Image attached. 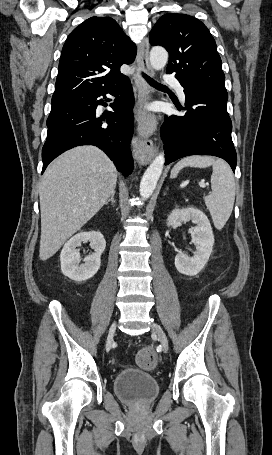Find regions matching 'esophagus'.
<instances>
[{
  "instance_id": "obj_1",
  "label": "esophagus",
  "mask_w": 272,
  "mask_h": 455,
  "mask_svg": "<svg viewBox=\"0 0 272 455\" xmlns=\"http://www.w3.org/2000/svg\"><path fill=\"white\" fill-rule=\"evenodd\" d=\"M138 67L139 70L145 72L149 76H153V70L149 63V41L144 38L138 49ZM140 85L138 98V111L136 114L137 132H138V147L135 151V159L141 164H147L151 161L157 152V147L151 140V135L157 127V118L153 113L144 112L141 110V105L150 98L151 88L140 75L138 77Z\"/></svg>"
}]
</instances>
